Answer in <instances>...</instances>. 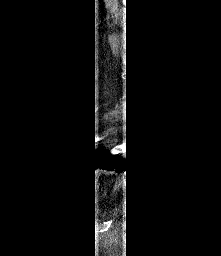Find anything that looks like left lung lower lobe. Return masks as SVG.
I'll list each match as a JSON object with an SVG mask.
<instances>
[{
	"mask_svg": "<svg viewBox=\"0 0 221 256\" xmlns=\"http://www.w3.org/2000/svg\"><path fill=\"white\" fill-rule=\"evenodd\" d=\"M79 160L86 168H102L106 170L116 169L126 171L129 174H141L142 169L136 152L126 149L117 155L106 152L102 143L95 142L84 146L79 152Z\"/></svg>",
	"mask_w": 221,
	"mask_h": 256,
	"instance_id": "obj_1",
	"label": "left lung lower lobe"
}]
</instances>
